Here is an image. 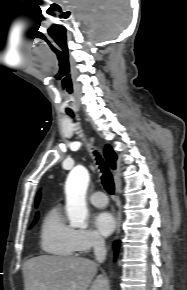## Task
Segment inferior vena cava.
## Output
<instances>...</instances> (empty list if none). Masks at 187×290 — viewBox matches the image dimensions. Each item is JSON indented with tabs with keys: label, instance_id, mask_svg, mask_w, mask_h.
<instances>
[{
	"label": "inferior vena cava",
	"instance_id": "obj_1",
	"mask_svg": "<svg viewBox=\"0 0 187 290\" xmlns=\"http://www.w3.org/2000/svg\"><path fill=\"white\" fill-rule=\"evenodd\" d=\"M93 249L95 259L98 263H103L106 259V247L104 239L100 236H95L93 239Z\"/></svg>",
	"mask_w": 187,
	"mask_h": 290
}]
</instances>
